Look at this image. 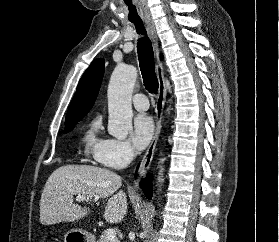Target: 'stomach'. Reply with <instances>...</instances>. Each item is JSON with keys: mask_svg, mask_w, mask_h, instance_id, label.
I'll use <instances>...</instances> for the list:
<instances>
[{"mask_svg": "<svg viewBox=\"0 0 279 242\" xmlns=\"http://www.w3.org/2000/svg\"><path fill=\"white\" fill-rule=\"evenodd\" d=\"M65 242H90L91 236L82 229H72L64 237Z\"/></svg>", "mask_w": 279, "mask_h": 242, "instance_id": "stomach-1", "label": "stomach"}]
</instances>
